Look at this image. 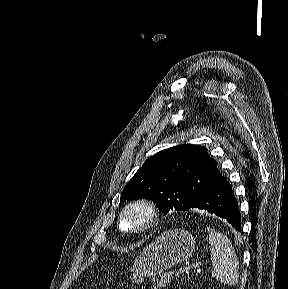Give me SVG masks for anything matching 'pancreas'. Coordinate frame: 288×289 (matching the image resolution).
<instances>
[{
    "label": "pancreas",
    "instance_id": "1",
    "mask_svg": "<svg viewBox=\"0 0 288 289\" xmlns=\"http://www.w3.org/2000/svg\"><path fill=\"white\" fill-rule=\"evenodd\" d=\"M169 283V274H162L159 279L153 280V289L165 288Z\"/></svg>",
    "mask_w": 288,
    "mask_h": 289
}]
</instances>
